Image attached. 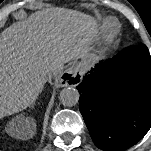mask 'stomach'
<instances>
[{
  "label": "stomach",
  "mask_w": 151,
  "mask_h": 151,
  "mask_svg": "<svg viewBox=\"0 0 151 151\" xmlns=\"http://www.w3.org/2000/svg\"><path fill=\"white\" fill-rule=\"evenodd\" d=\"M98 57L95 54L89 56V59L84 60L83 65H87L88 62H95Z\"/></svg>",
  "instance_id": "obj_1"
}]
</instances>
